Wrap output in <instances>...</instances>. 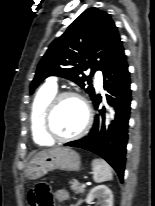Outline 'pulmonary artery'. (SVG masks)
Listing matches in <instances>:
<instances>
[{
    "label": "pulmonary artery",
    "instance_id": "e3ab8cb5",
    "mask_svg": "<svg viewBox=\"0 0 155 206\" xmlns=\"http://www.w3.org/2000/svg\"><path fill=\"white\" fill-rule=\"evenodd\" d=\"M96 77H97V85L98 87H102L103 85V76H102V73L101 72H98L96 74ZM56 82H57V79L56 78H52L49 80V83L53 86H56Z\"/></svg>",
    "mask_w": 155,
    "mask_h": 206
}]
</instances>
